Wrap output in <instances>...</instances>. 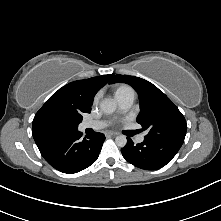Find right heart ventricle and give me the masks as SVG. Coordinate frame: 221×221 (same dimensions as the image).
Listing matches in <instances>:
<instances>
[{
	"mask_svg": "<svg viewBox=\"0 0 221 221\" xmlns=\"http://www.w3.org/2000/svg\"><path fill=\"white\" fill-rule=\"evenodd\" d=\"M128 94H134V91L130 86L126 84H120L116 86L114 89V95L116 98H119Z\"/></svg>",
	"mask_w": 221,
	"mask_h": 221,
	"instance_id": "right-heart-ventricle-1",
	"label": "right heart ventricle"
}]
</instances>
